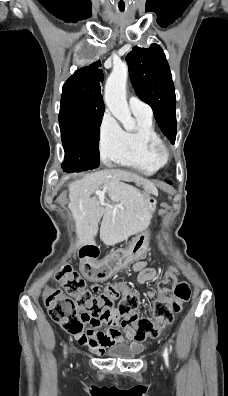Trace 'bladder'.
Here are the masks:
<instances>
[{
	"label": "bladder",
	"instance_id": "bladder-1",
	"mask_svg": "<svg viewBox=\"0 0 228 396\" xmlns=\"http://www.w3.org/2000/svg\"><path fill=\"white\" fill-rule=\"evenodd\" d=\"M106 354L112 358L129 360L137 355V351L129 345L118 344L110 346L107 349Z\"/></svg>",
	"mask_w": 228,
	"mask_h": 396
}]
</instances>
